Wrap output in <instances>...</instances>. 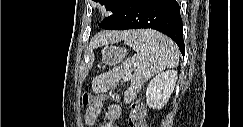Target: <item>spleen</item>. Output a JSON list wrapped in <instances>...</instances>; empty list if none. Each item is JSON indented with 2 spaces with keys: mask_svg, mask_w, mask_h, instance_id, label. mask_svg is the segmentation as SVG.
<instances>
[{
  "mask_svg": "<svg viewBox=\"0 0 243 127\" xmlns=\"http://www.w3.org/2000/svg\"><path fill=\"white\" fill-rule=\"evenodd\" d=\"M124 40L136 54L126 59L121 66L95 77L92 88L96 93L106 92L121 78L131 79L130 88L124 92V101L128 103L149 78L166 68L176 67L179 52L170 38L153 30L134 31Z\"/></svg>",
  "mask_w": 243,
  "mask_h": 127,
  "instance_id": "3e777b00",
  "label": "spleen"
}]
</instances>
